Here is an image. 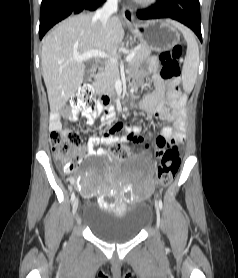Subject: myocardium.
<instances>
[{"label": "myocardium", "instance_id": "1", "mask_svg": "<svg viewBox=\"0 0 238 278\" xmlns=\"http://www.w3.org/2000/svg\"><path fill=\"white\" fill-rule=\"evenodd\" d=\"M135 1L142 6H151L157 2V0H135Z\"/></svg>", "mask_w": 238, "mask_h": 278}]
</instances>
